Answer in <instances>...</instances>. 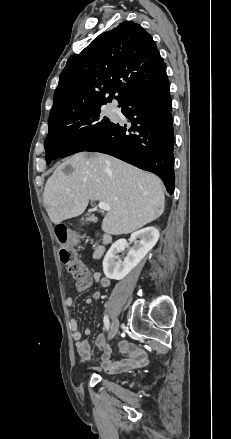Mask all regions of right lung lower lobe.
I'll return each instance as SVG.
<instances>
[{
  "instance_id": "right-lung-lower-lobe-1",
  "label": "right lung lower lobe",
  "mask_w": 231,
  "mask_h": 439,
  "mask_svg": "<svg viewBox=\"0 0 231 439\" xmlns=\"http://www.w3.org/2000/svg\"><path fill=\"white\" fill-rule=\"evenodd\" d=\"M130 124H119L85 151L114 156L158 175L174 191V133L168 78L145 88L122 105Z\"/></svg>"
}]
</instances>
